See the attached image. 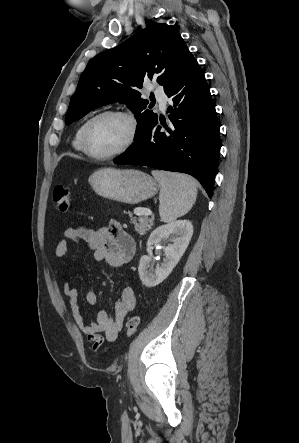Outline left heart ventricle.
I'll return each mask as SVG.
<instances>
[{
	"instance_id": "obj_1",
	"label": "left heart ventricle",
	"mask_w": 299,
	"mask_h": 443,
	"mask_svg": "<svg viewBox=\"0 0 299 443\" xmlns=\"http://www.w3.org/2000/svg\"><path fill=\"white\" fill-rule=\"evenodd\" d=\"M128 134L129 126L123 118L104 116L90 126L88 146L95 154H108L120 148Z\"/></svg>"
}]
</instances>
